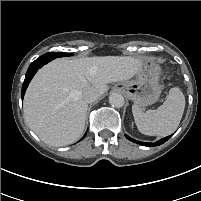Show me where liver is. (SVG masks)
Listing matches in <instances>:
<instances>
[{
	"mask_svg": "<svg viewBox=\"0 0 201 201\" xmlns=\"http://www.w3.org/2000/svg\"><path fill=\"white\" fill-rule=\"evenodd\" d=\"M143 58L97 56L59 58L40 69L24 97V117L31 130L45 143L65 146L83 133L88 102L86 89L98 96L108 90V83L127 81L136 76Z\"/></svg>",
	"mask_w": 201,
	"mask_h": 201,
	"instance_id": "1",
	"label": "liver"
}]
</instances>
